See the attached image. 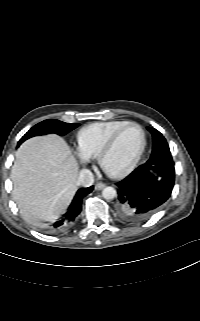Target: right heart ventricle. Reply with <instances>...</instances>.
Masks as SVG:
<instances>
[{
	"label": "right heart ventricle",
	"mask_w": 200,
	"mask_h": 321,
	"mask_svg": "<svg viewBox=\"0 0 200 321\" xmlns=\"http://www.w3.org/2000/svg\"><path fill=\"white\" fill-rule=\"evenodd\" d=\"M127 123V120H111L91 123L81 128L77 133L79 150L89 158L97 157L111 135Z\"/></svg>",
	"instance_id": "right-heart-ventricle-1"
}]
</instances>
